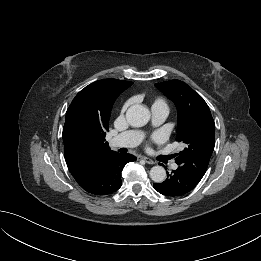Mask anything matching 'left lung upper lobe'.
<instances>
[{"instance_id": "1", "label": "left lung upper lobe", "mask_w": 261, "mask_h": 261, "mask_svg": "<svg viewBox=\"0 0 261 261\" xmlns=\"http://www.w3.org/2000/svg\"><path fill=\"white\" fill-rule=\"evenodd\" d=\"M178 110L176 140L184 150L175 155V162L197 180L204 176L214 150L215 124L204 99L180 80L156 83Z\"/></svg>"}]
</instances>
